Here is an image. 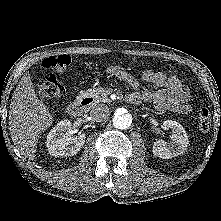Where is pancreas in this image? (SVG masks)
Wrapping results in <instances>:
<instances>
[{
  "label": "pancreas",
  "instance_id": "cf45deb5",
  "mask_svg": "<svg viewBox=\"0 0 221 221\" xmlns=\"http://www.w3.org/2000/svg\"><path fill=\"white\" fill-rule=\"evenodd\" d=\"M86 94L94 97L97 102H107V92L104 89L97 88L85 92Z\"/></svg>",
  "mask_w": 221,
  "mask_h": 221
}]
</instances>
